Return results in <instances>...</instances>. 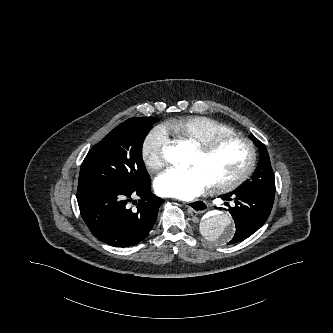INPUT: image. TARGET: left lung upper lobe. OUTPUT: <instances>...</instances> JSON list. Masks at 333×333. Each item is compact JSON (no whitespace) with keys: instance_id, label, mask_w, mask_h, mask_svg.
I'll return each mask as SVG.
<instances>
[{"instance_id":"obj_1","label":"left lung upper lobe","mask_w":333,"mask_h":333,"mask_svg":"<svg viewBox=\"0 0 333 333\" xmlns=\"http://www.w3.org/2000/svg\"><path fill=\"white\" fill-rule=\"evenodd\" d=\"M253 143L259 149V163L251 179L246 180L238 189L275 196V177L266 147L251 134Z\"/></svg>"}]
</instances>
